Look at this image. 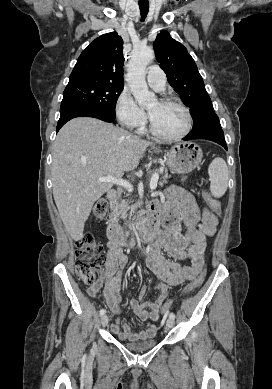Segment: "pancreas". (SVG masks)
Wrapping results in <instances>:
<instances>
[{
    "mask_svg": "<svg viewBox=\"0 0 272 389\" xmlns=\"http://www.w3.org/2000/svg\"><path fill=\"white\" fill-rule=\"evenodd\" d=\"M160 172L164 171V175L161 177V180L159 182V185L162 186L164 183H167L170 176L168 175L167 169H160ZM111 218H114L116 221H118L120 218H125L127 212L130 210V213L132 214L134 210L137 208V205L129 206L128 201L126 199H122L120 196L111 203Z\"/></svg>",
    "mask_w": 272,
    "mask_h": 389,
    "instance_id": "pancreas-1",
    "label": "pancreas"
}]
</instances>
